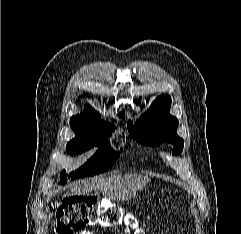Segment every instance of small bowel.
Here are the masks:
<instances>
[{
    "label": "small bowel",
    "mask_w": 241,
    "mask_h": 234,
    "mask_svg": "<svg viewBox=\"0 0 241 234\" xmlns=\"http://www.w3.org/2000/svg\"><path fill=\"white\" fill-rule=\"evenodd\" d=\"M79 234H93V233L88 230H82Z\"/></svg>",
    "instance_id": "obj_1"
}]
</instances>
